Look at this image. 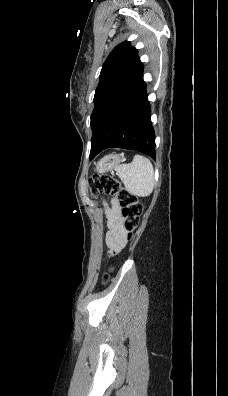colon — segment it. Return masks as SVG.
<instances>
[{"label":"colon","instance_id":"5ec220e1","mask_svg":"<svg viewBox=\"0 0 228 396\" xmlns=\"http://www.w3.org/2000/svg\"><path fill=\"white\" fill-rule=\"evenodd\" d=\"M88 185L93 196L107 194L115 196L121 208L122 226L128 237L139 225L142 205L137 197L122 187L120 182L107 174L94 175L88 180ZM118 251L111 250L110 255H115Z\"/></svg>","mask_w":228,"mask_h":396}]
</instances>
